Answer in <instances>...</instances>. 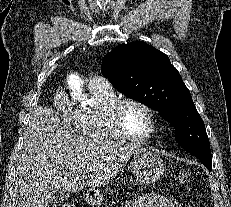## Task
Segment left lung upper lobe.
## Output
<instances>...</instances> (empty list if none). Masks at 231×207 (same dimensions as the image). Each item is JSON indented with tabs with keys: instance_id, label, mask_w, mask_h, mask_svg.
Wrapping results in <instances>:
<instances>
[{
	"instance_id": "5c2ea615",
	"label": "left lung upper lobe",
	"mask_w": 231,
	"mask_h": 207,
	"mask_svg": "<svg viewBox=\"0 0 231 207\" xmlns=\"http://www.w3.org/2000/svg\"><path fill=\"white\" fill-rule=\"evenodd\" d=\"M101 72L119 92L157 110L170 122L186 151L212 162L204 122L167 55L145 42L120 45L103 58Z\"/></svg>"
}]
</instances>
